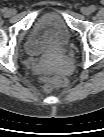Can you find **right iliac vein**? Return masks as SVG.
I'll use <instances>...</instances> for the list:
<instances>
[{
    "label": "right iliac vein",
    "instance_id": "right-iliac-vein-1",
    "mask_svg": "<svg viewBox=\"0 0 104 137\" xmlns=\"http://www.w3.org/2000/svg\"><path fill=\"white\" fill-rule=\"evenodd\" d=\"M15 14V11L13 9L8 10L7 15L12 16Z\"/></svg>",
    "mask_w": 104,
    "mask_h": 137
}]
</instances>
